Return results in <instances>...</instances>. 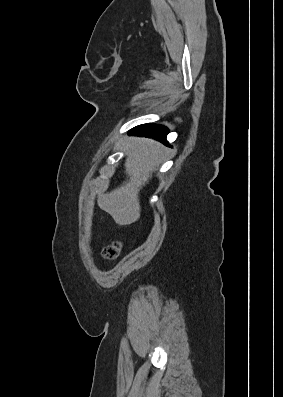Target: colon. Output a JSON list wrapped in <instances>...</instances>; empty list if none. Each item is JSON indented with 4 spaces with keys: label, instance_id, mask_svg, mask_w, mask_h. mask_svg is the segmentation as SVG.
Masks as SVG:
<instances>
[{
    "label": "colon",
    "instance_id": "colon-1",
    "mask_svg": "<svg viewBox=\"0 0 283 397\" xmlns=\"http://www.w3.org/2000/svg\"><path fill=\"white\" fill-rule=\"evenodd\" d=\"M121 244L114 242L107 245L102 251V257L106 260H114L119 256Z\"/></svg>",
    "mask_w": 283,
    "mask_h": 397
}]
</instances>
